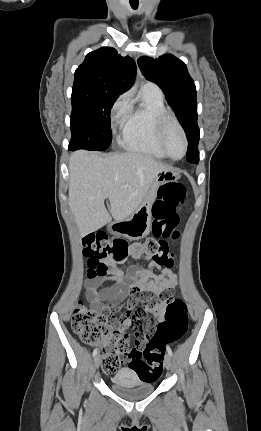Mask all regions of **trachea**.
I'll list each match as a JSON object with an SVG mask.
<instances>
[{
  "label": "trachea",
  "mask_w": 261,
  "mask_h": 431,
  "mask_svg": "<svg viewBox=\"0 0 261 431\" xmlns=\"http://www.w3.org/2000/svg\"><path fill=\"white\" fill-rule=\"evenodd\" d=\"M130 5H131V7L133 8V9H137L138 8V3H130Z\"/></svg>",
  "instance_id": "obj_1"
}]
</instances>
